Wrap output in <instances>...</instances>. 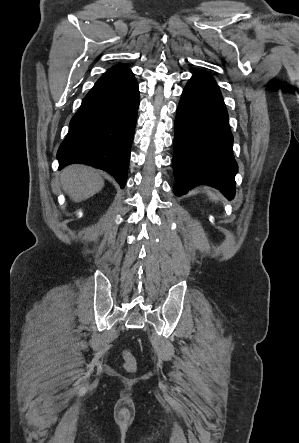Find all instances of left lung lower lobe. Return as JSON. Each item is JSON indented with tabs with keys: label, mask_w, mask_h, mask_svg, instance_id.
Instances as JSON below:
<instances>
[{
	"label": "left lung lower lobe",
	"mask_w": 299,
	"mask_h": 443,
	"mask_svg": "<svg viewBox=\"0 0 299 443\" xmlns=\"http://www.w3.org/2000/svg\"><path fill=\"white\" fill-rule=\"evenodd\" d=\"M228 113L214 78L197 72L184 88L175 120L173 169L176 196L197 185L235 195L237 163Z\"/></svg>",
	"instance_id": "1"
}]
</instances>
